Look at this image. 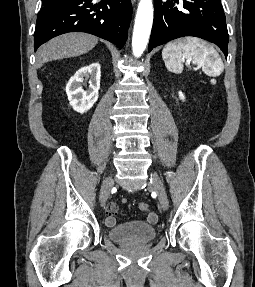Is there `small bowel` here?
<instances>
[{
  "mask_svg": "<svg viewBox=\"0 0 255 287\" xmlns=\"http://www.w3.org/2000/svg\"><path fill=\"white\" fill-rule=\"evenodd\" d=\"M121 202L123 204L127 203V199L126 198H122ZM118 212V206L115 203H110L108 204V206L106 207V219H105V224L108 227H113L116 224V219L115 216L117 215ZM145 220L147 223L150 224H156L158 221V216L154 213V212H150L147 213L145 215Z\"/></svg>",
  "mask_w": 255,
  "mask_h": 287,
  "instance_id": "c3829d8e",
  "label": "small bowel"
}]
</instances>
